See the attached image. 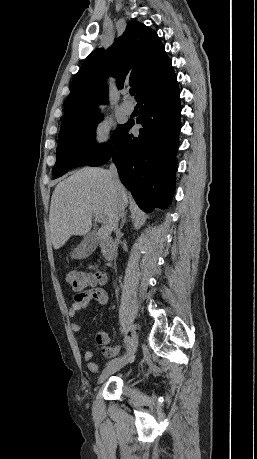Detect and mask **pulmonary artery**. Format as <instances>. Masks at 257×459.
Here are the masks:
<instances>
[{"label":"pulmonary artery","mask_w":257,"mask_h":459,"mask_svg":"<svg viewBox=\"0 0 257 459\" xmlns=\"http://www.w3.org/2000/svg\"><path fill=\"white\" fill-rule=\"evenodd\" d=\"M121 110L125 114H131L134 110V104L131 101L126 100L121 104Z\"/></svg>","instance_id":"obj_1"}]
</instances>
